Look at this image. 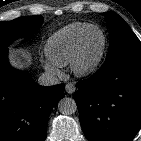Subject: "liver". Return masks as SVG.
I'll list each match as a JSON object with an SVG mask.
<instances>
[{"label": "liver", "mask_w": 141, "mask_h": 141, "mask_svg": "<svg viewBox=\"0 0 141 141\" xmlns=\"http://www.w3.org/2000/svg\"><path fill=\"white\" fill-rule=\"evenodd\" d=\"M29 63L30 58L26 53L17 52L12 55V64L19 69L27 67Z\"/></svg>", "instance_id": "obj_1"}]
</instances>
